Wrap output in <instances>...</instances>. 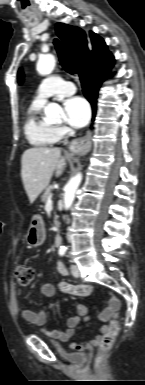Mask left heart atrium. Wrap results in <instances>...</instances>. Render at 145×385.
<instances>
[{
  "label": "left heart atrium",
  "instance_id": "39dd6f15",
  "mask_svg": "<svg viewBox=\"0 0 145 385\" xmlns=\"http://www.w3.org/2000/svg\"><path fill=\"white\" fill-rule=\"evenodd\" d=\"M64 110L66 122L74 128L85 126L90 119V107L82 97L73 96L66 99Z\"/></svg>",
  "mask_w": 145,
  "mask_h": 385
}]
</instances>
